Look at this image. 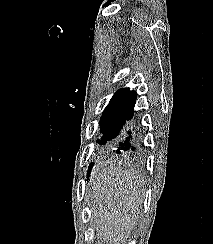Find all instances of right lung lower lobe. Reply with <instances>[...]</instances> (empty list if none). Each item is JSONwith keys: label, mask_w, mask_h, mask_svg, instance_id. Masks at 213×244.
<instances>
[{"label": "right lung lower lobe", "mask_w": 213, "mask_h": 244, "mask_svg": "<svg viewBox=\"0 0 213 244\" xmlns=\"http://www.w3.org/2000/svg\"><path fill=\"white\" fill-rule=\"evenodd\" d=\"M136 137L130 126H126L117 139L112 142L113 152L117 154H125L135 151Z\"/></svg>", "instance_id": "right-lung-lower-lobe-1"}]
</instances>
